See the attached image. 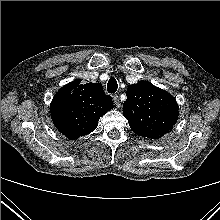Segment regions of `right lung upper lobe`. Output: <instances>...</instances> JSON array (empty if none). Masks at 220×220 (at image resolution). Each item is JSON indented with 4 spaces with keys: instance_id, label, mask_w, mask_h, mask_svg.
Masks as SVG:
<instances>
[{
    "instance_id": "obj_1",
    "label": "right lung upper lobe",
    "mask_w": 220,
    "mask_h": 220,
    "mask_svg": "<svg viewBox=\"0 0 220 220\" xmlns=\"http://www.w3.org/2000/svg\"><path fill=\"white\" fill-rule=\"evenodd\" d=\"M80 82L76 79L63 86L50 104L55 127L70 140L91 133L100 117L113 108L100 83Z\"/></svg>"
}]
</instances>
